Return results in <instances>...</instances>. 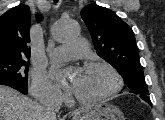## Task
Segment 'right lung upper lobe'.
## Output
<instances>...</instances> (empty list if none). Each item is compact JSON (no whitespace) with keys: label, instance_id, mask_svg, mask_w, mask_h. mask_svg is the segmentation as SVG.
Instances as JSON below:
<instances>
[{"label":"right lung upper lobe","instance_id":"right-lung-upper-lobe-1","mask_svg":"<svg viewBox=\"0 0 165 120\" xmlns=\"http://www.w3.org/2000/svg\"><path fill=\"white\" fill-rule=\"evenodd\" d=\"M30 8L19 5L0 17V59L29 58Z\"/></svg>","mask_w":165,"mask_h":120}]
</instances>
